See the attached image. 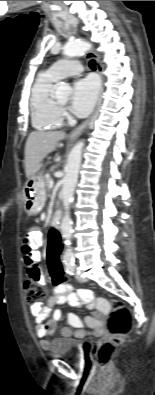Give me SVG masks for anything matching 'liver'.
<instances>
[{"instance_id":"1","label":"liver","mask_w":155,"mask_h":395,"mask_svg":"<svg viewBox=\"0 0 155 395\" xmlns=\"http://www.w3.org/2000/svg\"><path fill=\"white\" fill-rule=\"evenodd\" d=\"M62 131H33L25 145V174L29 179L43 159L53 152L59 141L65 139Z\"/></svg>"}]
</instances>
